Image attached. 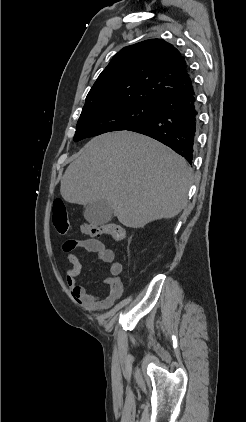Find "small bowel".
I'll use <instances>...</instances> for the list:
<instances>
[{
	"label": "small bowel",
	"mask_w": 246,
	"mask_h": 422,
	"mask_svg": "<svg viewBox=\"0 0 246 422\" xmlns=\"http://www.w3.org/2000/svg\"><path fill=\"white\" fill-rule=\"evenodd\" d=\"M76 248L95 253L99 259L108 264L111 277L106 279L107 293L104 296H97L89 293L86 288L77 282L81 273V263L74 253ZM63 251L69 262V267L65 270V278L70 288L73 298L91 310H103L110 308L122 295L123 283L119 277L122 272V264L115 260L113 250L107 248L105 244L97 239L76 240L69 239L63 244Z\"/></svg>",
	"instance_id": "obj_1"
}]
</instances>
